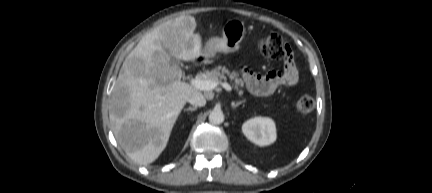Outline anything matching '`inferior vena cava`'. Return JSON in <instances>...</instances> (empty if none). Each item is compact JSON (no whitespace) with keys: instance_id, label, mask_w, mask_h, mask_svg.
<instances>
[{"instance_id":"602c4592","label":"inferior vena cava","mask_w":432,"mask_h":193,"mask_svg":"<svg viewBox=\"0 0 432 193\" xmlns=\"http://www.w3.org/2000/svg\"><path fill=\"white\" fill-rule=\"evenodd\" d=\"M189 102L195 107H201L206 104V99L201 92L196 91L190 96Z\"/></svg>"}]
</instances>
